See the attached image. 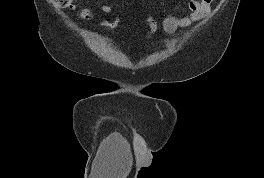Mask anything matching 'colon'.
I'll list each match as a JSON object with an SVG mask.
<instances>
[{
  "mask_svg": "<svg viewBox=\"0 0 264 178\" xmlns=\"http://www.w3.org/2000/svg\"><path fill=\"white\" fill-rule=\"evenodd\" d=\"M57 5L61 8H72L74 0H55ZM120 19L118 17L113 19H106L102 22V27L107 30H114L119 27ZM160 20L155 15H150L145 22L147 36L152 35L159 27Z\"/></svg>",
  "mask_w": 264,
  "mask_h": 178,
  "instance_id": "5ec220e1",
  "label": "colon"
}]
</instances>
